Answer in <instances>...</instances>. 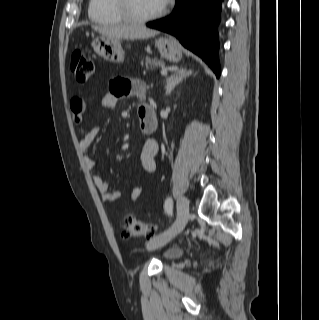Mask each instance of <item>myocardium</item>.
Masks as SVG:
<instances>
[{"label":"myocardium","mask_w":319,"mask_h":320,"mask_svg":"<svg viewBox=\"0 0 319 320\" xmlns=\"http://www.w3.org/2000/svg\"><path fill=\"white\" fill-rule=\"evenodd\" d=\"M118 12L130 23H146L156 20L164 15L165 8L162 7L153 14L141 16L132 8V0H114Z\"/></svg>","instance_id":"1"}]
</instances>
